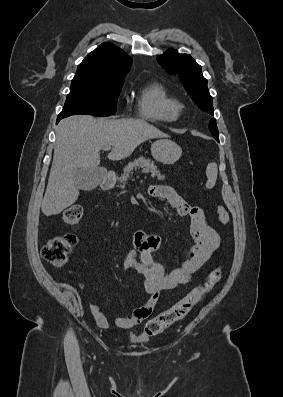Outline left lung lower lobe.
<instances>
[{
  "instance_id": "1",
  "label": "left lung lower lobe",
  "mask_w": 283,
  "mask_h": 397,
  "mask_svg": "<svg viewBox=\"0 0 283 397\" xmlns=\"http://www.w3.org/2000/svg\"><path fill=\"white\" fill-rule=\"evenodd\" d=\"M215 139L219 142V137H216Z\"/></svg>"
}]
</instances>
